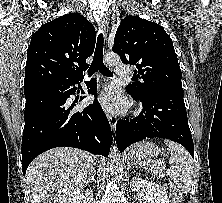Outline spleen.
Masks as SVG:
<instances>
[{"mask_svg": "<svg viewBox=\"0 0 222 203\" xmlns=\"http://www.w3.org/2000/svg\"><path fill=\"white\" fill-rule=\"evenodd\" d=\"M164 143L171 151L169 159L171 168L167 170V174L182 192L187 193L191 189L195 176L193 160L189 152L180 144L170 140H165Z\"/></svg>", "mask_w": 222, "mask_h": 203, "instance_id": "3e777b00", "label": "spleen"}]
</instances>
